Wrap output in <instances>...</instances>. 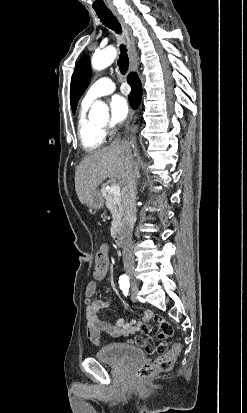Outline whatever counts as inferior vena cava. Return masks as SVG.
Instances as JSON below:
<instances>
[{
  "mask_svg": "<svg viewBox=\"0 0 247 413\" xmlns=\"http://www.w3.org/2000/svg\"><path fill=\"white\" fill-rule=\"evenodd\" d=\"M113 142H122L126 148L127 158L122 174V207H123V265L124 269L129 275L130 279H133L134 273V255L132 249V231L134 227L135 215H136V174L138 170L137 162H135L132 154L134 140L130 138H115Z\"/></svg>",
  "mask_w": 247,
  "mask_h": 413,
  "instance_id": "obj_1",
  "label": "inferior vena cava"
}]
</instances>
